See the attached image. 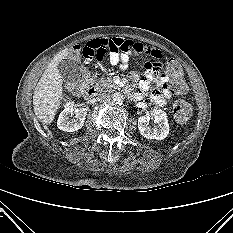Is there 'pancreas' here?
Returning a JSON list of instances; mask_svg holds the SVG:
<instances>
[{
  "instance_id": "obj_1",
  "label": "pancreas",
  "mask_w": 233,
  "mask_h": 233,
  "mask_svg": "<svg viewBox=\"0 0 233 233\" xmlns=\"http://www.w3.org/2000/svg\"><path fill=\"white\" fill-rule=\"evenodd\" d=\"M95 88L99 91L110 92L112 89L117 88V85L113 82V80L111 78H107V79L99 80L96 83Z\"/></svg>"
}]
</instances>
